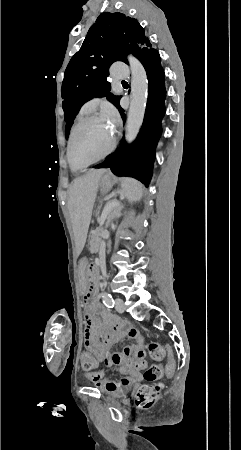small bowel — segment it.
Returning a JSON list of instances; mask_svg holds the SVG:
<instances>
[{"mask_svg": "<svg viewBox=\"0 0 241 450\" xmlns=\"http://www.w3.org/2000/svg\"><path fill=\"white\" fill-rule=\"evenodd\" d=\"M83 307H95V298H83ZM85 317L84 345L94 347L95 360H101L106 367H116L123 376L118 380L108 379L104 371L88 372L86 377L96 387L103 388L108 392H120L124 388L133 384H138L143 380L142 371L145 364H148L145 351V337L139 329L130 323L124 322L119 331L118 324H105L101 330L95 329L92 325L100 324L99 316H91L88 309L83 310ZM119 331V332H118ZM135 341L133 345H127L120 352L111 353V347L123 338Z\"/></svg>", "mask_w": 241, "mask_h": 450, "instance_id": "c3829d8e", "label": "small bowel"}]
</instances>
